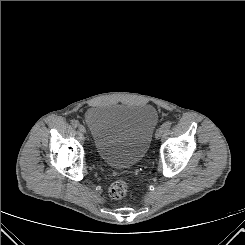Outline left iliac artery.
<instances>
[{
  "label": "left iliac artery",
  "mask_w": 245,
  "mask_h": 245,
  "mask_svg": "<svg viewBox=\"0 0 245 245\" xmlns=\"http://www.w3.org/2000/svg\"><path fill=\"white\" fill-rule=\"evenodd\" d=\"M172 125L171 121H166L163 123L162 128H164L165 130L169 129Z\"/></svg>",
  "instance_id": "obj_1"
}]
</instances>
